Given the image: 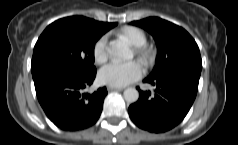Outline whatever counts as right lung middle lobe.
<instances>
[{
	"instance_id": "1",
	"label": "right lung middle lobe",
	"mask_w": 238,
	"mask_h": 145,
	"mask_svg": "<svg viewBox=\"0 0 238 145\" xmlns=\"http://www.w3.org/2000/svg\"><path fill=\"white\" fill-rule=\"evenodd\" d=\"M105 33L93 19L70 16L50 24L35 44L31 65L59 62L95 71L94 47Z\"/></svg>"
}]
</instances>
